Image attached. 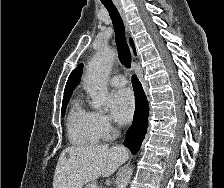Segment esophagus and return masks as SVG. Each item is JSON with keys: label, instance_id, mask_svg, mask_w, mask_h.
I'll return each mask as SVG.
<instances>
[{"label": "esophagus", "instance_id": "34e87169", "mask_svg": "<svg viewBox=\"0 0 224 188\" xmlns=\"http://www.w3.org/2000/svg\"><path fill=\"white\" fill-rule=\"evenodd\" d=\"M115 5H116V7H117V9H118L121 17H122V20H123V23H124V26H125L126 31H127V33H129L130 32V27H129V24H128V21H127L125 12H124L121 4L116 3Z\"/></svg>", "mask_w": 224, "mask_h": 188}]
</instances>
